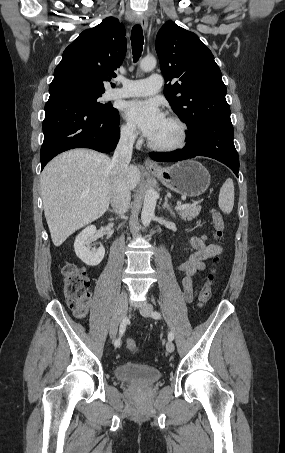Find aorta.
Listing matches in <instances>:
<instances>
[{
    "label": "aorta",
    "instance_id": "obj_1",
    "mask_svg": "<svg viewBox=\"0 0 285 453\" xmlns=\"http://www.w3.org/2000/svg\"><path fill=\"white\" fill-rule=\"evenodd\" d=\"M156 64L157 61L154 57H145L140 62V69L144 72H149L156 67ZM156 203L157 192L151 188L145 194L141 212V220L144 226H148L154 217Z\"/></svg>",
    "mask_w": 285,
    "mask_h": 453
}]
</instances>
